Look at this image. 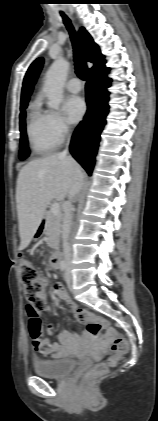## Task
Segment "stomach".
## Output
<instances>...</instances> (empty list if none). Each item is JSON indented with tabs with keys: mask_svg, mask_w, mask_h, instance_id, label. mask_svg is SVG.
<instances>
[{
	"mask_svg": "<svg viewBox=\"0 0 158 421\" xmlns=\"http://www.w3.org/2000/svg\"><path fill=\"white\" fill-rule=\"evenodd\" d=\"M42 230H43V226L40 223L39 227L37 228V230H36V232L34 234V237H39L40 234H41V232H42Z\"/></svg>",
	"mask_w": 158,
	"mask_h": 421,
	"instance_id": "stomach-1",
	"label": "stomach"
}]
</instances>
